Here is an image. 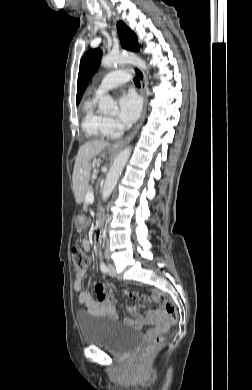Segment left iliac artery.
I'll list each match as a JSON object with an SVG mask.
<instances>
[{
  "label": "left iliac artery",
  "instance_id": "1",
  "mask_svg": "<svg viewBox=\"0 0 252 390\" xmlns=\"http://www.w3.org/2000/svg\"><path fill=\"white\" fill-rule=\"evenodd\" d=\"M99 255H100V259H101V262H100V269L103 273H107L108 272V268L107 266L105 265V263L103 262L102 260V253L101 251L99 252Z\"/></svg>",
  "mask_w": 252,
  "mask_h": 390
}]
</instances>
